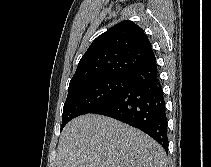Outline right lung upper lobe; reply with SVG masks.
Returning a JSON list of instances; mask_svg holds the SVG:
<instances>
[{
    "mask_svg": "<svg viewBox=\"0 0 211 167\" xmlns=\"http://www.w3.org/2000/svg\"><path fill=\"white\" fill-rule=\"evenodd\" d=\"M155 62L150 41L132 21H122L98 36L78 63L69 88L109 76H128Z\"/></svg>",
    "mask_w": 211,
    "mask_h": 167,
    "instance_id": "cb5924a9",
    "label": "right lung upper lobe"
}]
</instances>
